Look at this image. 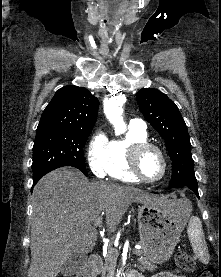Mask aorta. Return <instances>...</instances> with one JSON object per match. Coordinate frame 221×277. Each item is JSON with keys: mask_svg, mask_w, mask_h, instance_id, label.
I'll use <instances>...</instances> for the list:
<instances>
[{"mask_svg": "<svg viewBox=\"0 0 221 277\" xmlns=\"http://www.w3.org/2000/svg\"><path fill=\"white\" fill-rule=\"evenodd\" d=\"M124 101L121 97L111 98L105 105L104 111L108 120L113 124L115 132L118 134L126 131V124L122 118V109Z\"/></svg>", "mask_w": 221, "mask_h": 277, "instance_id": "aorta-1", "label": "aorta"}]
</instances>
